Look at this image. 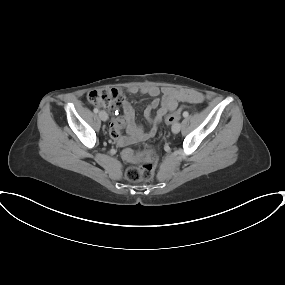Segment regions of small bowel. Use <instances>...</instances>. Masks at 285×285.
Returning a JSON list of instances; mask_svg holds the SVG:
<instances>
[{
  "label": "small bowel",
  "instance_id": "small-bowel-1",
  "mask_svg": "<svg viewBox=\"0 0 285 285\" xmlns=\"http://www.w3.org/2000/svg\"><path fill=\"white\" fill-rule=\"evenodd\" d=\"M119 95L120 104L123 108L122 117H114L110 127L112 137L116 138L120 144L128 145L139 141H145L153 137L162 122L163 118L169 112L176 110L179 103L199 104L203 102V95L190 90H177L172 88H164L161 90L155 85L144 86L142 88L130 87L129 93L142 94L152 97V101L146 106L144 116L151 125L149 131H144L141 125L135 121V109L125 94L114 89ZM162 94L160 98L159 95ZM156 113L153 114V111ZM125 128L128 136L120 137L121 129Z\"/></svg>",
  "mask_w": 285,
  "mask_h": 285
}]
</instances>
